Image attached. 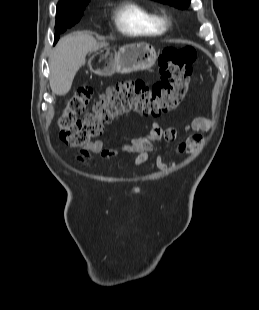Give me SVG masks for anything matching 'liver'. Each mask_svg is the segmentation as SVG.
I'll use <instances>...</instances> for the list:
<instances>
[{
  "instance_id": "6515ba94",
  "label": "liver",
  "mask_w": 259,
  "mask_h": 310,
  "mask_svg": "<svg viewBox=\"0 0 259 310\" xmlns=\"http://www.w3.org/2000/svg\"><path fill=\"white\" fill-rule=\"evenodd\" d=\"M107 46V43L97 42L86 32H76L61 38L49 57L52 92L59 96L67 94L77 71L86 62V55Z\"/></svg>"
}]
</instances>
